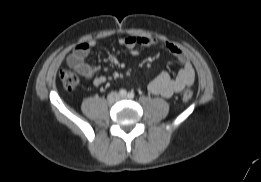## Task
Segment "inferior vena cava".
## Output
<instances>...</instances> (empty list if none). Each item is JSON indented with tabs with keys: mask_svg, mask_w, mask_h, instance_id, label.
<instances>
[{
	"mask_svg": "<svg viewBox=\"0 0 261 182\" xmlns=\"http://www.w3.org/2000/svg\"><path fill=\"white\" fill-rule=\"evenodd\" d=\"M111 95H117V94L114 92V93H112Z\"/></svg>",
	"mask_w": 261,
	"mask_h": 182,
	"instance_id": "inferior-vena-cava-1",
	"label": "inferior vena cava"
}]
</instances>
